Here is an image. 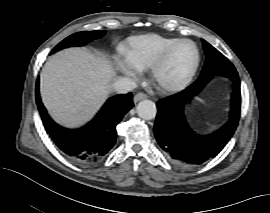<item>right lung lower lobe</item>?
<instances>
[{"instance_id":"1","label":"right lung lower lobe","mask_w":270,"mask_h":213,"mask_svg":"<svg viewBox=\"0 0 270 213\" xmlns=\"http://www.w3.org/2000/svg\"><path fill=\"white\" fill-rule=\"evenodd\" d=\"M36 103L44 127L59 150L83 165L95 164L106 157L116 142V125L133 107L132 94L111 97L86 126L68 130L56 125L44 108L39 94V79L36 83Z\"/></svg>"}]
</instances>
